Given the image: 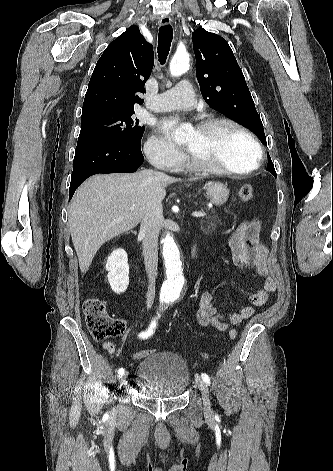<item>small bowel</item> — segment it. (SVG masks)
Returning <instances> with one entry per match:
<instances>
[{
    "label": "small bowel",
    "mask_w": 333,
    "mask_h": 471,
    "mask_svg": "<svg viewBox=\"0 0 333 471\" xmlns=\"http://www.w3.org/2000/svg\"><path fill=\"white\" fill-rule=\"evenodd\" d=\"M261 224L257 220L243 222L232 233L229 239L231 259L239 268H253L262 278V289L248 295L251 306H244L238 312L224 316L218 312L213 304V295L204 292L199 300L197 322L201 327H214L219 331H226L230 325H239L254 314L253 306H263L269 295L275 291L276 283L269 275L267 264L268 250L260 242ZM103 348L110 354L115 352L113 343L106 341Z\"/></svg>",
    "instance_id": "small-bowel-1"
}]
</instances>
